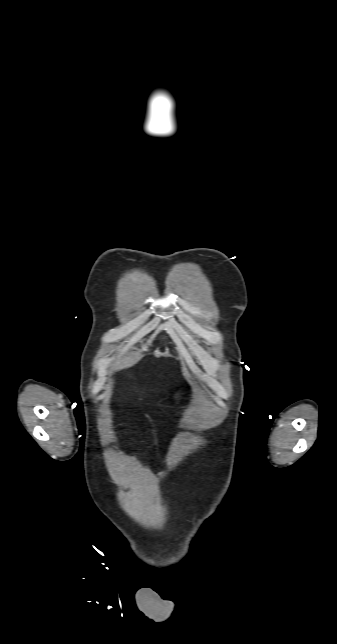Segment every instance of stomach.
Wrapping results in <instances>:
<instances>
[{
    "mask_svg": "<svg viewBox=\"0 0 337 644\" xmlns=\"http://www.w3.org/2000/svg\"><path fill=\"white\" fill-rule=\"evenodd\" d=\"M174 398H175V400H176L177 402H180V401H182L183 399H185V397H184V393H182V392H178V393H176V394H175Z\"/></svg>",
    "mask_w": 337,
    "mask_h": 644,
    "instance_id": "obj_1",
    "label": "stomach"
}]
</instances>
